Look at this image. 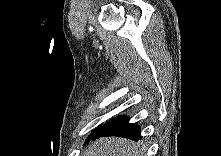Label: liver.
<instances>
[{
    "instance_id": "1",
    "label": "liver",
    "mask_w": 221,
    "mask_h": 156,
    "mask_svg": "<svg viewBox=\"0 0 221 156\" xmlns=\"http://www.w3.org/2000/svg\"><path fill=\"white\" fill-rule=\"evenodd\" d=\"M140 143L119 137H107L94 141L84 152V156H143Z\"/></svg>"
}]
</instances>
